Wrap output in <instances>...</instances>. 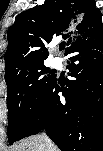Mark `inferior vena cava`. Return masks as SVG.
Listing matches in <instances>:
<instances>
[{
  "label": "inferior vena cava",
  "instance_id": "inferior-vena-cava-1",
  "mask_svg": "<svg viewBox=\"0 0 103 151\" xmlns=\"http://www.w3.org/2000/svg\"><path fill=\"white\" fill-rule=\"evenodd\" d=\"M43 141H44V150L45 151H50L51 147L53 146V143L51 142V140L48 138V136L46 134L43 135Z\"/></svg>",
  "mask_w": 103,
  "mask_h": 151
}]
</instances>
